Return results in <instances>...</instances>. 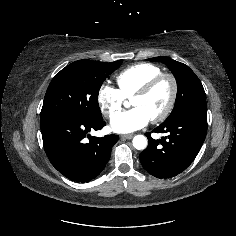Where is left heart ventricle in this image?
<instances>
[{
	"instance_id": "b2bd125f",
	"label": "left heart ventricle",
	"mask_w": 236,
	"mask_h": 236,
	"mask_svg": "<svg viewBox=\"0 0 236 236\" xmlns=\"http://www.w3.org/2000/svg\"><path fill=\"white\" fill-rule=\"evenodd\" d=\"M171 86L169 81L160 82L152 92L145 97L131 99L130 105L133 108L142 109L150 119L159 115L167 105L170 97Z\"/></svg>"
}]
</instances>
